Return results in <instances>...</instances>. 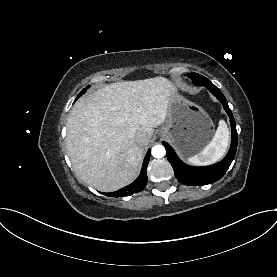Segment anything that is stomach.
Wrapping results in <instances>:
<instances>
[{"instance_id":"stomach-1","label":"stomach","mask_w":277,"mask_h":277,"mask_svg":"<svg viewBox=\"0 0 277 277\" xmlns=\"http://www.w3.org/2000/svg\"><path fill=\"white\" fill-rule=\"evenodd\" d=\"M214 124L199 105L177 92L168 100L167 120L160 130L183 156L200 153L214 136Z\"/></svg>"}]
</instances>
